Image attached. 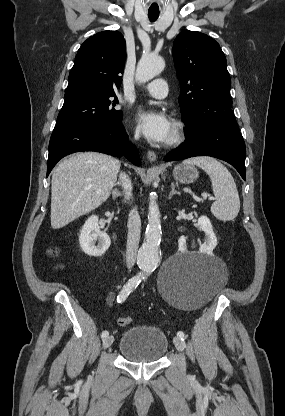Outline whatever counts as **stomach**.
Here are the masks:
<instances>
[{
    "mask_svg": "<svg viewBox=\"0 0 285 416\" xmlns=\"http://www.w3.org/2000/svg\"><path fill=\"white\" fill-rule=\"evenodd\" d=\"M173 178L181 184H192L198 178V170L194 166H175Z\"/></svg>",
    "mask_w": 285,
    "mask_h": 416,
    "instance_id": "obj_1",
    "label": "stomach"
}]
</instances>
